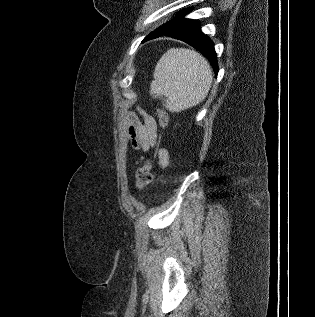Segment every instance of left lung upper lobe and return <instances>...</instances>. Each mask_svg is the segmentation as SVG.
<instances>
[{"label":"left lung upper lobe","mask_w":315,"mask_h":317,"mask_svg":"<svg viewBox=\"0 0 315 317\" xmlns=\"http://www.w3.org/2000/svg\"><path fill=\"white\" fill-rule=\"evenodd\" d=\"M189 9H183L182 11L178 12L177 16L175 19H173L172 21H169L167 22L166 24L160 26L159 28H157L156 30H154L153 32H151L150 34H148L145 39L143 40L144 41H147V40H151L149 39L150 37H154V36H157V35H160L162 33H164L166 30H168L180 17H182Z\"/></svg>","instance_id":"5c2ea615"}]
</instances>
